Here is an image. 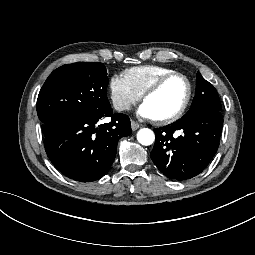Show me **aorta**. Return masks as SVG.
<instances>
[{
  "label": "aorta",
  "instance_id": "1",
  "mask_svg": "<svg viewBox=\"0 0 255 255\" xmlns=\"http://www.w3.org/2000/svg\"><path fill=\"white\" fill-rule=\"evenodd\" d=\"M155 136L152 130L143 128L137 133V140L140 144L148 146L154 142Z\"/></svg>",
  "mask_w": 255,
  "mask_h": 255
}]
</instances>
